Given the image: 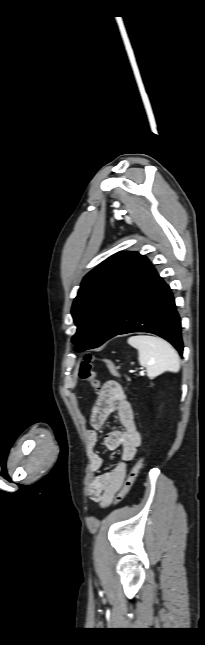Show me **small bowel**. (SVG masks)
Returning a JSON list of instances; mask_svg holds the SVG:
<instances>
[{
  "label": "small bowel",
  "mask_w": 205,
  "mask_h": 645,
  "mask_svg": "<svg viewBox=\"0 0 205 645\" xmlns=\"http://www.w3.org/2000/svg\"><path fill=\"white\" fill-rule=\"evenodd\" d=\"M113 414L118 416L122 429L105 434L103 445L108 450L121 447V458L110 471L99 473L105 464V459L95 450L98 431ZM90 424L91 429L85 433L89 468L93 474L89 495L93 501L106 507L122 487L127 468L135 459L142 443V436L130 401L121 389H111L108 382L102 387L95 402Z\"/></svg>",
  "instance_id": "small-bowel-1"
}]
</instances>
